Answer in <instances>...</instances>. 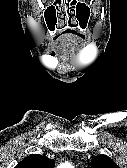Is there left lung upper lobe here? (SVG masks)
Segmentation results:
<instances>
[{
	"mask_svg": "<svg viewBox=\"0 0 127 168\" xmlns=\"http://www.w3.org/2000/svg\"><path fill=\"white\" fill-rule=\"evenodd\" d=\"M92 168H119V166L111 158L101 154L93 158Z\"/></svg>",
	"mask_w": 127,
	"mask_h": 168,
	"instance_id": "left-lung-upper-lobe-1",
	"label": "left lung upper lobe"
}]
</instances>
